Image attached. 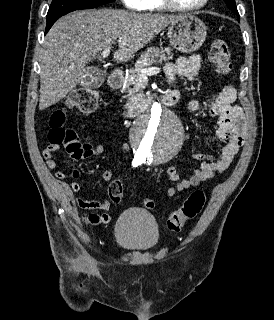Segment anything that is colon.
<instances>
[{"label": "colon", "mask_w": 274, "mask_h": 320, "mask_svg": "<svg viewBox=\"0 0 274 320\" xmlns=\"http://www.w3.org/2000/svg\"><path fill=\"white\" fill-rule=\"evenodd\" d=\"M231 52L225 41H215L209 50V61L221 73L226 74L231 67ZM99 94L95 89L76 88L69 92L65 105L53 111L48 120V143H58L74 156H82L89 148L87 137H79L76 131L66 127L69 109L79 113H90L95 110ZM123 182H107L109 193L115 194V199L121 201ZM119 193V194H118ZM206 202L203 190L195 189L190 196L174 210L167 219V228L171 232H179L186 221L196 218L202 211ZM149 208L155 207L154 201H147Z\"/></svg>", "instance_id": "obj_1"}]
</instances>
